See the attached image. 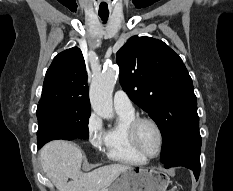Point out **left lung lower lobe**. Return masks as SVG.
Instances as JSON below:
<instances>
[{
    "label": "left lung lower lobe",
    "mask_w": 233,
    "mask_h": 191,
    "mask_svg": "<svg viewBox=\"0 0 233 191\" xmlns=\"http://www.w3.org/2000/svg\"><path fill=\"white\" fill-rule=\"evenodd\" d=\"M200 152L201 146H189L171 157L164 166L165 168L187 167L193 171L195 178L198 179L200 174Z\"/></svg>",
    "instance_id": "0a47b994"
}]
</instances>
